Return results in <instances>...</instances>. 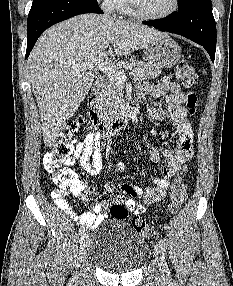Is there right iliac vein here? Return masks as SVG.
Returning a JSON list of instances; mask_svg holds the SVG:
<instances>
[{
  "label": "right iliac vein",
  "instance_id": "right-iliac-vein-1",
  "mask_svg": "<svg viewBox=\"0 0 233 286\" xmlns=\"http://www.w3.org/2000/svg\"><path fill=\"white\" fill-rule=\"evenodd\" d=\"M88 244H89V235L88 233H84L79 242V255H78L79 263H81L85 258Z\"/></svg>",
  "mask_w": 233,
  "mask_h": 286
}]
</instances>
